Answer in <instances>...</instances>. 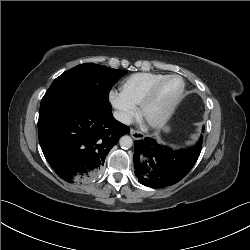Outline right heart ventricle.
I'll return each mask as SVG.
<instances>
[{
	"instance_id": "obj_1",
	"label": "right heart ventricle",
	"mask_w": 250,
	"mask_h": 250,
	"mask_svg": "<svg viewBox=\"0 0 250 250\" xmlns=\"http://www.w3.org/2000/svg\"><path fill=\"white\" fill-rule=\"evenodd\" d=\"M166 76L162 73L142 72L126 77L120 84V94L132 105H138L149 88L159 79Z\"/></svg>"
}]
</instances>
